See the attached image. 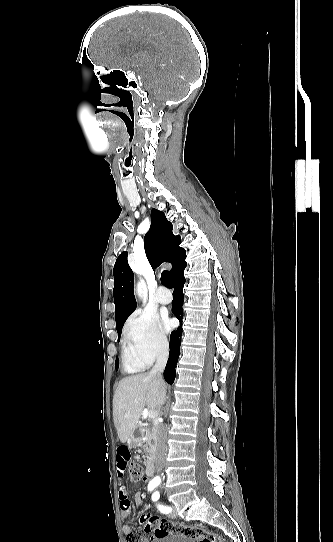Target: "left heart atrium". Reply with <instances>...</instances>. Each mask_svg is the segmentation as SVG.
Returning a JSON list of instances; mask_svg holds the SVG:
<instances>
[{"mask_svg":"<svg viewBox=\"0 0 333 542\" xmlns=\"http://www.w3.org/2000/svg\"><path fill=\"white\" fill-rule=\"evenodd\" d=\"M173 326V323L171 321H168V327H172Z\"/></svg>","mask_w":333,"mask_h":542,"instance_id":"39dd6f15","label":"left heart atrium"}]
</instances>
